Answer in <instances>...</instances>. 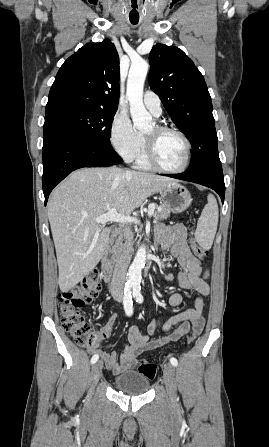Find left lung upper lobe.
Masks as SVG:
<instances>
[{"label": "left lung upper lobe", "instance_id": "obj_1", "mask_svg": "<svg viewBox=\"0 0 269 447\" xmlns=\"http://www.w3.org/2000/svg\"><path fill=\"white\" fill-rule=\"evenodd\" d=\"M149 61L151 89L192 146L185 173L221 167L211 97L200 71L182 50L164 44L152 48Z\"/></svg>", "mask_w": 269, "mask_h": 447}]
</instances>
